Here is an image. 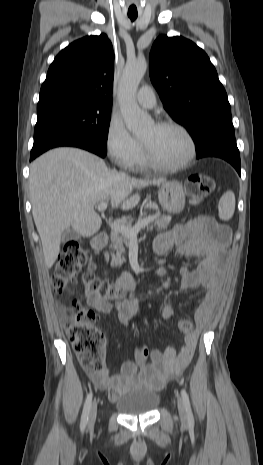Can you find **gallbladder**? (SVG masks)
Returning <instances> with one entry per match:
<instances>
[{
  "label": "gallbladder",
  "mask_w": 263,
  "mask_h": 465,
  "mask_svg": "<svg viewBox=\"0 0 263 465\" xmlns=\"http://www.w3.org/2000/svg\"><path fill=\"white\" fill-rule=\"evenodd\" d=\"M80 237V234H78L74 229L67 228L62 234V241L78 240Z\"/></svg>",
  "instance_id": "1"
}]
</instances>
